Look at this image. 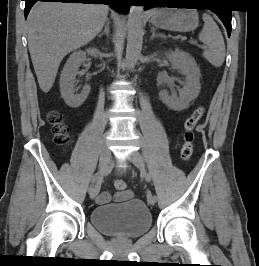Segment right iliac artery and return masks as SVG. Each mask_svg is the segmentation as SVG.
Segmentation results:
<instances>
[{"label": "right iliac artery", "instance_id": "1", "mask_svg": "<svg viewBox=\"0 0 259 266\" xmlns=\"http://www.w3.org/2000/svg\"><path fill=\"white\" fill-rule=\"evenodd\" d=\"M99 175H100L99 172L94 174V176L92 178V182H90V185H88L87 192H91L92 191V187L95 185V181L99 178Z\"/></svg>", "mask_w": 259, "mask_h": 266}]
</instances>
